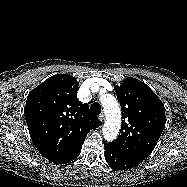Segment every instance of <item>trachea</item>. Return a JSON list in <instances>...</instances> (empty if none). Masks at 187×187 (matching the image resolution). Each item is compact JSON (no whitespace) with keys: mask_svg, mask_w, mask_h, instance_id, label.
Here are the masks:
<instances>
[{"mask_svg":"<svg viewBox=\"0 0 187 187\" xmlns=\"http://www.w3.org/2000/svg\"><path fill=\"white\" fill-rule=\"evenodd\" d=\"M90 109L95 115H99L101 112V106L97 102L92 103Z\"/></svg>","mask_w":187,"mask_h":187,"instance_id":"trachea-1","label":"trachea"}]
</instances>
